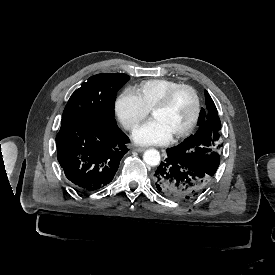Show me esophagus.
<instances>
[{
  "label": "esophagus",
  "instance_id": "obj_1",
  "mask_svg": "<svg viewBox=\"0 0 275 275\" xmlns=\"http://www.w3.org/2000/svg\"><path fill=\"white\" fill-rule=\"evenodd\" d=\"M134 150L136 152H143L145 150V147H136Z\"/></svg>",
  "mask_w": 275,
  "mask_h": 275
}]
</instances>
